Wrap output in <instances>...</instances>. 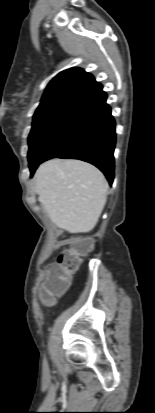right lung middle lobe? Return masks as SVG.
<instances>
[{
  "label": "right lung middle lobe",
  "mask_w": 155,
  "mask_h": 413,
  "mask_svg": "<svg viewBox=\"0 0 155 413\" xmlns=\"http://www.w3.org/2000/svg\"><path fill=\"white\" fill-rule=\"evenodd\" d=\"M77 109V105L64 106L33 120L28 138L29 167L41 162L61 137Z\"/></svg>",
  "instance_id": "right-lung-middle-lobe-1"
}]
</instances>
